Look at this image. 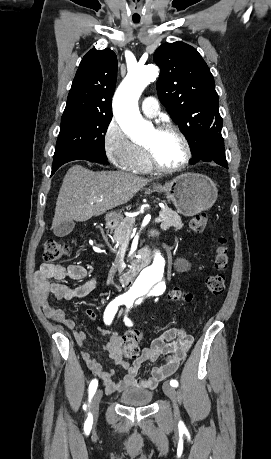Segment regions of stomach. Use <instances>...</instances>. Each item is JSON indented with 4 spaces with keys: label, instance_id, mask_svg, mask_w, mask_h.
<instances>
[{
    "label": "stomach",
    "instance_id": "obj_1",
    "mask_svg": "<svg viewBox=\"0 0 271 459\" xmlns=\"http://www.w3.org/2000/svg\"><path fill=\"white\" fill-rule=\"evenodd\" d=\"M152 190L165 194L166 198L173 202L178 214L182 216H196L200 212L210 210L218 196L214 182L203 174H182L166 184H159V186L154 184ZM113 216L121 218L117 214H111L109 218Z\"/></svg>",
    "mask_w": 271,
    "mask_h": 459
}]
</instances>
